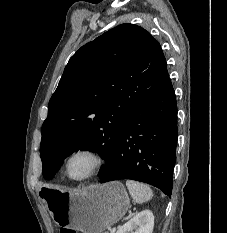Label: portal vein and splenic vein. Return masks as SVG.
<instances>
[{
  "mask_svg": "<svg viewBox=\"0 0 227 233\" xmlns=\"http://www.w3.org/2000/svg\"><path fill=\"white\" fill-rule=\"evenodd\" d=\"M116 231V227H113L112 229H110V233H115Z\"/></svg>",
  "mask_w": 227,
  "mask_h": 233,
  "instance_id": "1",
  "label": "portal vein and splenic vein"
}]
</instances>
